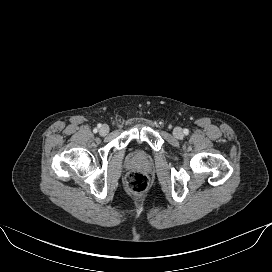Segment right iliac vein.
Segmentation results:
<instances>
[{
	"mask_svg": "<svg viewBox=\"0 0 272 272\" xmlns=\"http://www.w3.org/2000/svg\"><path fill=\"white\" fill-rule=\"evenodd\" d=\"M109 132V126L104 124L101 126V128L99 129V133L103 136L107 135Z\"/></svg>",
	"mask_w": 272,
	"mask_h": 272,
	"instance_id": "1",
	"label": "right iliac vein"
}]
</instances>
